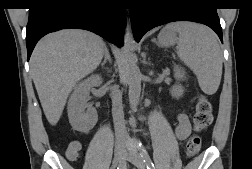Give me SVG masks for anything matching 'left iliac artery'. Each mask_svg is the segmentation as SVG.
<instances>
[{"instance_id":"44dca946","label":"left iliac artery","mask_w":252,"mask_h":169,"mask_svg":"<svg viewBox=\"0 0 252 169\" xmlns=\"http://www.w3.org/2000/svg\"><path fill=\"white\" fill-rule=\"evenodd\" d=\"M139 149H140V155L143 158V161L146 164L147 169H155V166L146 149L143 146H141V144H139Z\"/></svg>"}]
</instances>
